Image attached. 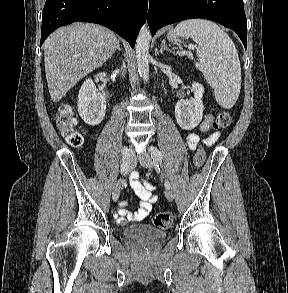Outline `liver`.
<instances>
[{"label":"liver","mask_w":288,"mask_h":293,"mask_svg":"<svg viewBox=\"0 0 288 293\" xmlns=\"http://www.w3.org/2000/svg\"><path fill=\"white\" fill-rule=\"evenodd\" d=\"M116 46L115 33L92 23L77 22L54 31L43 45L52 101H60L83 77L105 63Z\"/></svg>","instance_id":"6515ba94"}]
</instances>
